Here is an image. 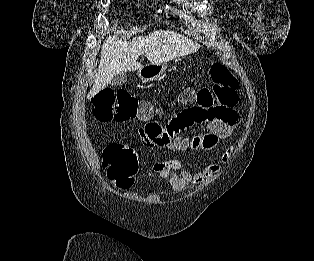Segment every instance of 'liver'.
<instances>
[{"instance_id":"6515ba94","label":"liver","mask_w":314,"mask_h":261,"mask_svg":"<svg viewBox=\"0 0 314 261\" xmlns=\"http://www.w3.org/2000/svg\"><path fill=\"white\" fill-rule=\"evenodd\" d=\"M200 45L172 31H154L131 41L119 40L115 35L107 37L102 45L98 72L87 98L91 99L120 72L135 71L143 66L137 62L144 55L150 63H166L198 51Z\"/></svg>"}]
</instances>
